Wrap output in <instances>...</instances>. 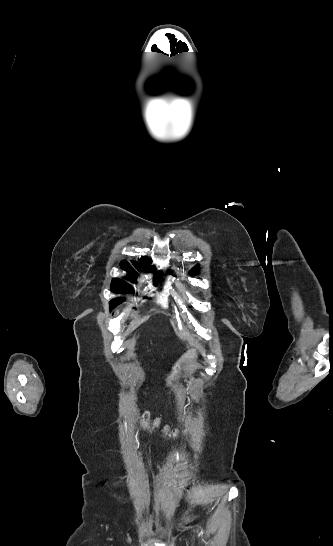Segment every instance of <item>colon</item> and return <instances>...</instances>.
I'll list each match as a JSON object with an SVG mask.
<instances>
[{"label":"colon","mask_w":333,"mask_h":546,"mask_svg":"<svg viewBox=\"0 0 333 546\" xmlns=\"http://www.w3.org/2000/svg\"><path fill=\"white\" fill-rule=\"evenodd\" d=\"M141 418V424L144 430L154 434H160L165 439H171L177 436L176 432H173L169 427L162 426L158 419H152L148 413H144Z\"/></svg>","instance_id":"1"}]
</instances>
